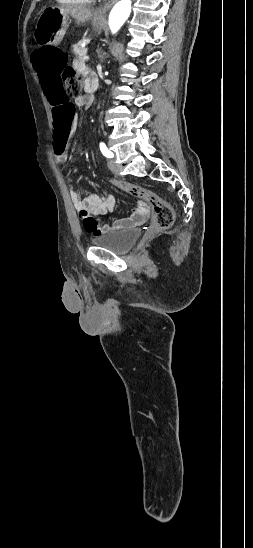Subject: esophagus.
I'll return each instance as SVG.
<instances>
[{
    "label": "esophagus",
    "mask_w": 253,
    "mask_h": 548,
    "mask_svg": "<svg viewBox=\"0 0 253 548\" xmlns=\"http://www.w3.org/2000/svg\"><path fill=\"white\" fill-rule=\"evenodd\" d=\"M118 0H109L102 7L98 8L95 12L97 17H104V15L109 11V9L117 2Z\"/></svg>",
    "instance_id": "obj_1"
}]
</instances>
